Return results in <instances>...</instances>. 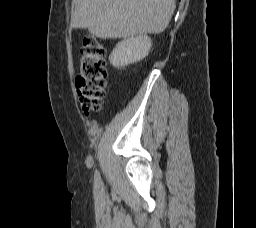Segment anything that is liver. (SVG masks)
I'll return each instance as SVG.
<instances>
[{"label": "liver", "instance_id": "obj_1", "mask_svg": "<svg viewBox=\"0 0 256 228\" xmlns=\"http://www.w3.org/2000/svg\"><path fill=\"white\" fill-rule=\"evenodd\" d=\"M73 28L88 29L101 39L128 38L163 32L175 0H73Z\"/></svg>", "mask_w": 256, "mask_h": 228}]
</instances>
